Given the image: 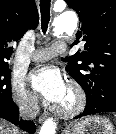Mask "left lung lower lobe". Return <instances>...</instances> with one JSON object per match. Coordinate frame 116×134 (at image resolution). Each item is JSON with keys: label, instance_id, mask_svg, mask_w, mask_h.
Returning <instances> with one entry per match:
<instances>
[{"label": "left lung lower lobe", "instance_id": "left-lung-lower-lobe-1", "mask_svg": "<svg viewBox=\"0 0 116 134\" xmlns=\"http://www.w3.org/2000/svg\"><path fill=\"white\" fill-rule=\"evenodd\" d=\"M104 112H116V99L104 98L94 101H87L83 113L80 116L75 117V119L81 116H87Z\"/></svg>", "mask_w": 116, "mask_h": 134}]
</instances>
